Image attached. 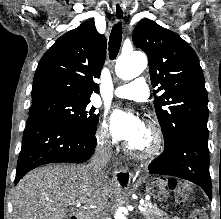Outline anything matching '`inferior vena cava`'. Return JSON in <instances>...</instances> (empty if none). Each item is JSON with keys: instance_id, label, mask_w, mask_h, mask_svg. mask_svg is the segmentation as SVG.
I'll return each instance as SVG.
<instances>
[{"instance_id": "1", "label": "inferior vena cava", "mask_w": 221, "mask_h": 219, "mask_svg": "<svg viewBox=\"0 0 221 219\" xmlns=\"http://www.w3.org/2000/svg\"><path fill=\"white\" fill-rule=\"evenodd\" d=\"M112 155V145L107 139H100L98 141L95 154L90 163V168L94 175L99 178L106 176L105 167L109 162ZM103 215L99 211H95L94 219H104Z\"/></svg>"}]
</instances>
